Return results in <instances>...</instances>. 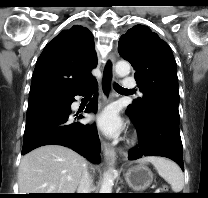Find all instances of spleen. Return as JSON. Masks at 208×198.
<instances>
[{"instance_id": "3e777b00", "label": "spleen", "mask_w": 208, "mask_h": 198, "mask_svg": "<svg viewBox=\"0 0 208 198\" xmlns=\"http://www.w3.org/2000/svg\"><path fill=\"white\" fill-rule=\"evenodd\" d=\"M158 174L165 179L175 193H179L184 187V176L179 166L165 158L161 157H148Z\"/></svg>"}]
</instances>
